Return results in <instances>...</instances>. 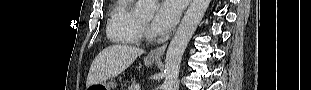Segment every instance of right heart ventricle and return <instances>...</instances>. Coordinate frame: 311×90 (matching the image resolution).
Masks as SVG:
<instances>
[{
  "instance_id": "obj_1",
  "label": "right heart ventricle",
  "mask_w": 311,
  "mask_h": 90,
  "mask_svg": "<svg viewBox=\"0 0 311 90\" xmlns=\"http://www.w3.org/2000/svg\"><path fill=\"white\" fill-rule=\"evenodd\" d=\"M106 34L116 43L135 45L142 35L140 18L134 11L131 0H118L112 6Z\"/></svg>"
}]
</instances>
